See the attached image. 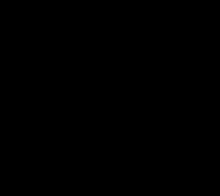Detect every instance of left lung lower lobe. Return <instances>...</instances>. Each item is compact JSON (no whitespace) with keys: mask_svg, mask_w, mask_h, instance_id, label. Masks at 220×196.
<instances>
[{"mask_svg":"<svg viewBox=\"0 0 220 196\" xmlns=\"http://www.w3.org/2000/svg\"><path fill=\"white\" fill-rule=\"evenodd\" d=\"M151 141L156 143V141H155V139H154V138H151Z\"/></svg>","mask_w":220,"mask_h":196,"instance_id":"left-lung-lower-lobe-1","label":"left lung lower lobe"}]
</instances>
